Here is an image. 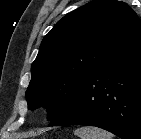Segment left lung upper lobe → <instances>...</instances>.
<instances>
[{
	"instance_id": "1",
	"label": "left lung upper lobe",
	"mask_w": 141,
	"mask_h": 139,
	"mask_svg": "<svg viewBox=\"0 0 141 139\" xmlns=\"http://www.w3.org/2000/svg\"><path fill=\"white\" fill-rule=\"evenodd\" d=\"M141 31L124 2L93 0L64 16L44 37L31 67L28 109H48V120L68 106L86 78Z\"/></svg>"
}]
</instances>
